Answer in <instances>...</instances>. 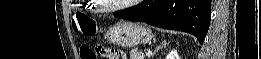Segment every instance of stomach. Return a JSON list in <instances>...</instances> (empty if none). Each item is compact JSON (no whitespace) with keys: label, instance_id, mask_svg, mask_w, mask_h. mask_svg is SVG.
Wrapping results in <instances>:
<instances>
[{"label":"stomach","instance_id":"1","mask_svg":"<svg viewBox=\"0 0 261 59\" xmlns=\"http://www.w3.org/2000/svg\"><path fill=\"white\" fill-rule=\"evenodd\" d=\"M153 37L151 29L143 23L121 20L105 32L108 42L122 47L146 44Z\"/></svg>","mask_w":261,"mask_h":59}]
</instances>
